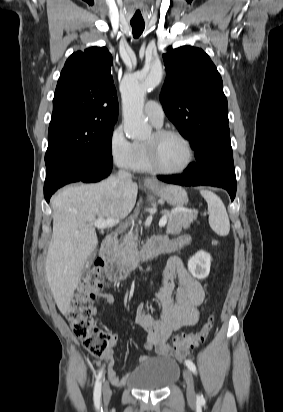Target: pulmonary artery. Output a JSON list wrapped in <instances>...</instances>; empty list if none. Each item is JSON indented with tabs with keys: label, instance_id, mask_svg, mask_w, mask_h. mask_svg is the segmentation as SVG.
<instances>
[{
	"label": "pulmonary artery",
	"instance_id": "1",
	"mask_svg": "<svg viewBox=\"0 0 283 412\" xmlns=\"http://www.w3.org/2000/svg\"><path fill=\"white\" fill-rule=\"evenodd\" d=\"M144 113L153 125L157 127L162 125L164 120V111L158 101H148L145 105Z\"/></svg>",
	"mask_w": 283,
	"mask_h": 412
}]
</instances>
